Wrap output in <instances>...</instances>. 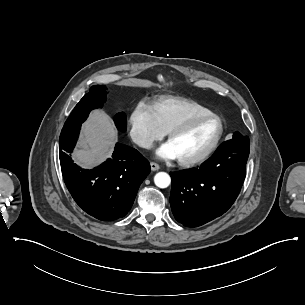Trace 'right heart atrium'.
Instances as JSON below:
<instances>
[{
    "instance_id": "1",
    "label": "right heart atrium",
    "mask_w": 305,
    "mask_h": 305,
    "mask_svg": "<svg viewBox=\"0 0 305 305\" xmlns=\"http://www.w3.org/2000/svg\"><path fill=\"white\" fill-rule=\"evenodd\" d=\"M128 128L132 141L145 150L151 149L165 134L153 106L146 103H138L132 110Z\"/></svg>"
}]
</instances>
